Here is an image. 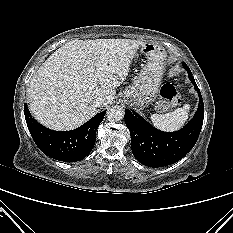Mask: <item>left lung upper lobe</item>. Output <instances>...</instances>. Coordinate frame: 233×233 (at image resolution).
I'll use <instances>...</instances> for the list:
<instances>
[{"mask_svg": "<svg viewBox=\"0 0 233 233\" xmlns=\"http://www.w3.org/2000/svg\"><path fill=\"white\" fill-rule=\"evenodd\" d=\"M185 69L187 70V72H188V73H190V72H191V71H190V69H189V67H188V68H185Z\"/></svg>", "mask_w": 233, "mask_h": 233, "instance_id": "5c2ea615", "label": "left lung upper lobe"}]
</instances>
